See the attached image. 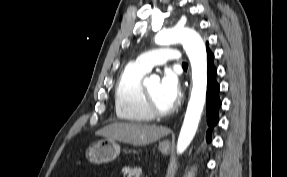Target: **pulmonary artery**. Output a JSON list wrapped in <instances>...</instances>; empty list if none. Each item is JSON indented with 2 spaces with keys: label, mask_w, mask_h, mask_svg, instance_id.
Returning <instances> with one entry per match:
<instances>
[{
  "label": "pulmonary artery",
  "mask_w": 287,
  "mask_h": 177,
  "mask_svg": "<svg viewBox=\"0 0 287 177\" xmlns=\"http://www.w3.org/2000/svg\"><path fill=\"white\" fill-rule=\"evenodd\" d=\"M133 62L146 71L166 62H171L174 66L183 64L181 54L170 46L148 50Z\"/></svg>",
  "instance_id": "obj_1"
}]
</instances>
